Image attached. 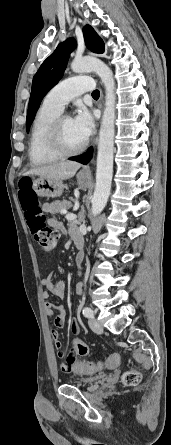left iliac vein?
<instances>
[{"mask_svg": "<svg viewBox=\"0 0 171 445\" xmlns=\"http://www.w3.org/2000/svg\"><path fill=\"white\" fill-rule=\"evenodd\" d=\"M89 327L96 334H101L103 332L102 324L94 319H89Z\"/></svg>", "mask_w": 171, "mask_h": 445, "instance_id": "1", "label": "left iliac vein"}]
</instances>
